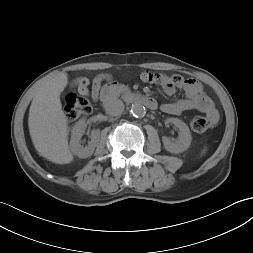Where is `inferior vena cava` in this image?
<instances>
[{
  "label": "inferior vena cava",
  "mask_w": 253,
  "mask_h": 253,
  "mask_svg": "<svg viewBox=\"0 0 253 253\" xmlns=\"http://www.w3.org/2000/svg\"><path fill=\"white\" fill-rule=\"evenodd\" d=\"M105 110L112 116H120L124 110V104L119 99H113L106 104Z\"/></svg>",
  "instance_id": "obj_1"
}]
</instances>
